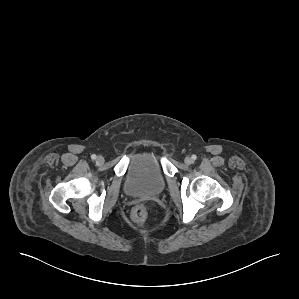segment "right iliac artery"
Wrapping results in <instances>:
<instances>
[{
	"mask_svg": "<svg viewBox=\"0 0 299 299\" xmlns=\"http://www.w3.org/2000/svg\"><path fill=\"white\" fill-rule=\"evenodd\" d=\"M96 157H97V156H96L95 154L91 155V159H93V160H95Z\"/></svg>",
	"mask_w": 299,
	"mask_h": 299,
	"instance_id": "right-iliac-artery-1",
	"label": "right iliac artery"
}]
</instances>
